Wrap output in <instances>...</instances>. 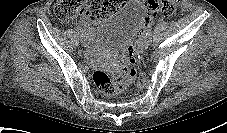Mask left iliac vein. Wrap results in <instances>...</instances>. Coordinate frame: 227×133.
Returning <instances> with one entry per match:
<instances>
[{
  "label": "left iliac vein",
  "instance_id": "left-iliac-vein-1",
  "mask_svg": "<svg viewBox=\"0 0 227 133\" xmlns=\"http://www.w3.org/2000/svg\"><path fill=\"white\" fill-rule=\"evenodd\" d=\"M151 43V36L144 34L141 39V47L147 49Z\"/></svg>",
  "mask_w": 227,
  "mask_h": 133
}]
</instances>
